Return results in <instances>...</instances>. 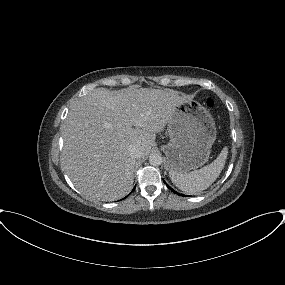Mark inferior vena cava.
Returning <instances> with one entry per match:
<instances>
[{"mask_svg": "<svg viewBox=\"0 0 285 285\" xmlns=\"http://www.w3.org/2000/svg\"><path fill=\"white\" fill-rule=\"evenodd\" d=\"M129 153L133 159H140L142 157L141 149H140V147H138L136 145H132L129 148Z\"/></svg>", "mask_w": 285, "mask_h": 285, "instance_id": "602c4592", "label": "inferior vena cava"}]
</instances>
